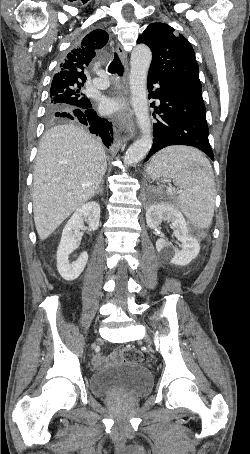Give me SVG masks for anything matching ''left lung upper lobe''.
<instances>
[{
	"instance_id": "obj_1",
	"label": "left lung upper lobe",
	"mask_w": 250,
	"mask_h": 454,
	"mask_svg": "<svg viewBox=\"0 0 250 454\" xmlns=\"http://www.w3.org/2000/svg\"><path fill=\"white\" fill-rule=\"evenodd\" d=\"M137 42L148 45L152 51L148 76L171 84L201 87L194 50L171 26L152 23Z\"/></svg>"
}]
</instances>
